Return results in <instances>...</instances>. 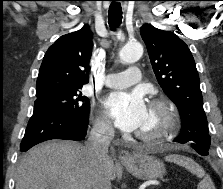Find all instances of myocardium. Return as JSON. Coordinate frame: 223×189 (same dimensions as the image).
Instances as JSON below:
<instances>
[{"mask_svg": "<svg viewBox=\"0 0 223 189\" xmlns=\"http://www.w3.org/2000/svg\"><path fill=\"white\" fill-rule=\"evenodd\" d=\"M149 108L161 114V122L151 130H140L137 137L143 141H154L173 133L179 124V115L176 107L164 97L150 99Z\"/></svg>", "mask_w": 223, "mask_h": 189, "instance_id": "f54148a6", "label": "myocardium"}]
</instances>
